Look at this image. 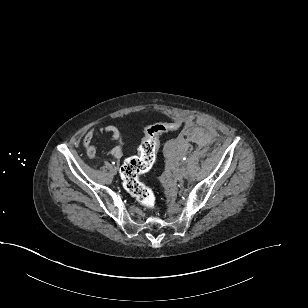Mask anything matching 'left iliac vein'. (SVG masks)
Wrapping results in <instances>:
<instances>
[{"instance_id":"obj_1","label":"left iliac vein","mask_w":308,"mask_h":308,"mask_svg":"<svg viewBox=\"0 0 308 308\" xmlns=\"http://www.w3.org/2000/svg\"><path fill=\"white\" fill-rule=\"evenodd\" d=\"M186 177H187V170H186V168H182L181 170L178 171L177 178L179 180H182L183 178H186Z\"/></svg>"}]
</instances>
